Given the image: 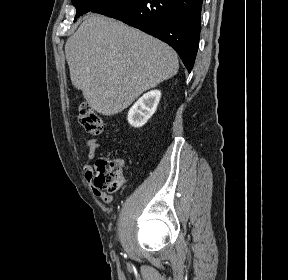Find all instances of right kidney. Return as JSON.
Here are the masks:
<instances>
[{"label":"right kidney","mask_w":288,"mask_h":280,"mask_svg":"<svg viewBox=\"0 0 288 280\" xmlns=\"http://www.w3.org/2000/svg\"><path fill=\"white\" fill-rule=\"evenodd\" d=\"M161 98V91L152 90L145 93L130 108L128 112V122L134 127L143 126L155 113Z\"/></svg>","instance_id":"1"}]
</instances>
